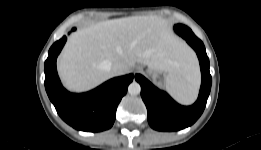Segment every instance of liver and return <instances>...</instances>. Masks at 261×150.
Instances as JSON below:
<instances>
[{"label": "liver", "mask_w": 261, "mask_h": 150, "mask_svg": "<svg viewBox=\"0 0 261 150\" xmlns=\"http://www.w3.org/2000/svg\"><path fill=\"white\" fill-rule=\"evenodd\" d=\"M121 62L128 72L136 63L150 70L180 75L196 63L191 49L156 16H132L97 22L74 32L59 59L64 85L76 92L94 88L114 75Z\"/></svg>", "instance_id": "liver-1"}]
</instances>
